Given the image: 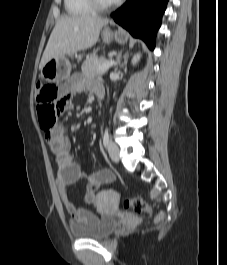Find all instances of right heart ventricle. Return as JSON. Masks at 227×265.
Masks as SVG:
<instances>
[{
  "label": "right heart ventricle",
  "mask_w": 227,
  "mask_h": 265,
  "mask_svg": "<svg viewBox=\"0 0 227 265\" xmlns=\"http://www.w3.org/2000/svg\"><path fill=\"white\" fill-rule=\"evenodd\" d=\"M64 6L67 13L74 16L90 14L94 11L87 0H64Z\"/></svg>",
  "instance_id": "e07e8e85"
}]
</instances>
